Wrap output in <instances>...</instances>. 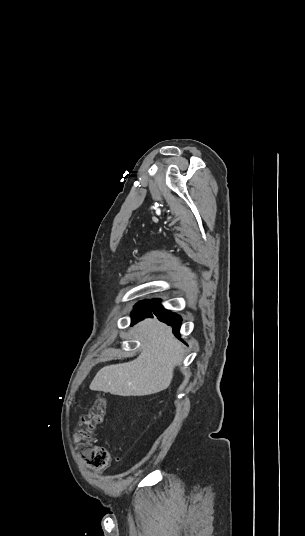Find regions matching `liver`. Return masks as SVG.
<instances>
[{
    "label": "liver",
    "mask_w": 305,
    "mask_h": 536,
    "mask_svg": "<svg viewBox=\"0 0 305 536\" xmlns=\"http://www.w3.org/2000/svg\"><path fill=\"white\" fill-rule=\"evenodd\" d=\"M136 330L142 342L140 356L99 370L90 390L114 396H149L170 386L174 368L183 358L181 342L174 338L172 328L158 320L139 322Z\"/></svg>",
    "instance_id": "obj_1"
}]
</instances>
